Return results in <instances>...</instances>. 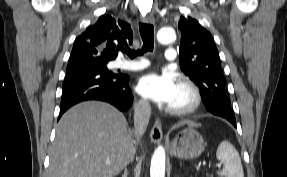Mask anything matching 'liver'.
Segmentation results:
<instances>
[{
	"label": "liver",
	"instance_id": "obj_1",
	"mask_svg": "<svg viewBox=\"0 0 287 177\" xmlns=\"http://www.w3.org/2000/svg\"><path fill=\"white\" fill-rule=\"evenodd\" d=\"M184 124L200 126L183 121L173 128ZM134 152L121 112L104 102H83L69 109L57 125L47 177H114Z\"/></svg>",
	"mask_w": 287,
	"mask_h": 177
}]
</instances>
